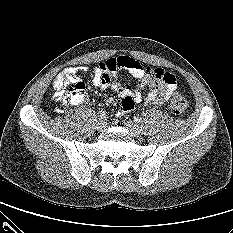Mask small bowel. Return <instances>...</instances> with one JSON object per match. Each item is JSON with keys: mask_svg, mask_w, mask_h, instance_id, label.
<instances>
[{"mask_svg": "<svg viewBox=\"0 0 233 233\" xmlns=\"http://www.w3.org/2000/svg\"><path fill=\"white\" fill-rule=\"evenodd\" d=\"M86 67H67L62 70L54 79L52 89L54 98L60 103L65 95V88L68 83H82L80 73L87 71ZM121 71H127L140 84L137 88H123L120 86L118 76ZM93 83L95 86L106 89L112 86L119 98L117 116L126 114L135 109L142 102L157 105L165 104L177 88L176 76L161 68H150L141 65L135 59L128 56H118L100 62L92 69ZM86 100V95L80 101L72 104H79Z\"/></svg>", "mask_w": 233, "mask_h": 233, "instance_id": "obj_1", "label": "small bowel"}]
</instances>
